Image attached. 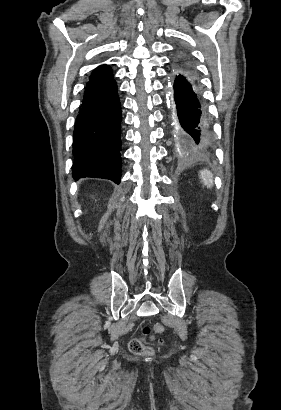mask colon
Returning <instances> with one entry per match:
<instances>
[{"mask_svg": "<svg viewBox=\"0 0 281 410\" xmlns=\"http://www.w3.org/2000/svg\"><path fill=\"white\" fill-rule=\"evenodd\" d=\"M165 328L161 323L153 324L152 328L145 326L142 329V335L145 339L154 340L156 337L163 334ZM129 350L132 354L137 356L150 355L152 350L146 345L142 338H132L129 342Z\"/></svg>", "mask_w": 281, "mask_h": 410, "instance_id": "1", "label": "colon"}]
</instances>
